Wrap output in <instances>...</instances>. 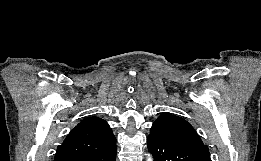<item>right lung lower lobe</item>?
Instances as JSON below:
<instances>
[{"label": "right lung lower lobe", "mask_w": 261, "mask_h": 161, "mask_svg": "<svg viewBox=\"0 0 261 161\" xmlns=\"http://www.w3.org/2000/svg\"><path fill=\"white\" fill-rule=\"evenodd\" d=\"M116 150L117 145L115 142L101 151L76 155L60 161H116Z\"/></svg>", "instance_id": "obj_1"}]
</instances>
